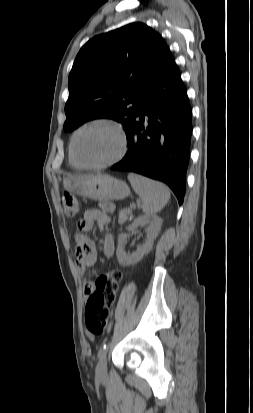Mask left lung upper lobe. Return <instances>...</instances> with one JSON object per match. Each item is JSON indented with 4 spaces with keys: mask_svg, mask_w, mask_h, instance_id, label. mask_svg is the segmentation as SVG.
<instances>
[{
    "mask_svg": "<svg viewBox=\"0 0 253 413\" xmlns=\"http://www.w3.org/2000/svg\"><path fill=\"white\" fill-rule=\"evenodd\" d=\"M172 59L161 35L143 23L93 37L79 51L69 74L64 130L111 118L127 132Z\"/></svg>",
    "mask_w": 253,
    "mask_h": 413,
    "instance_id": "left-lung-upper-lobe-1",
    "label": "left lung upper lobe"
}]
</instances>
